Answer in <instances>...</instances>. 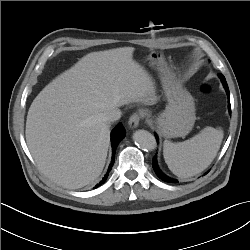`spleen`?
<instances>
[{
    "label": "spleen",
    "instance_id": "spleen-1",
    "mask_svg": "<svg viewBox=\"0 0 250 250\" xmlns=\"http://www.w3.org/2000/svg\"><path fill=\"white\" fill-rule=\"evenodd\" d=\"M223 135L221 129L207 126L186 141L173 143L165 140L163 156L168 168L181 179L199 174L216 157Z\"/></svg>",
    "mask_w": 250,
    "mask_h": 250
}]
</instances>
